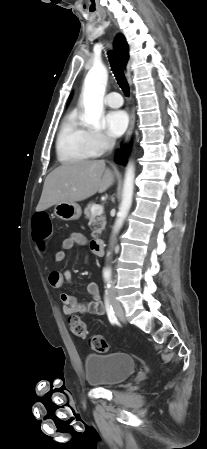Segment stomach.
Segmentation results:
<instances>
[{
    "label": "stomach",
    "mask_w": 207,
    "mask_h": 449,
    "mask_svg": "<svg viewBox=\"0 0 207 449\" xmlns=\"http://www.w3.org/2000/svg\"><path fill=\"white\" fill-rule=\"evenodd\" d=\"M54 214L65 221L77 220L81 217L82 210L76 202L59 203L55 205Z\"/></svg>",
    "instance_id": "0dacf381"
}]
</instances>
